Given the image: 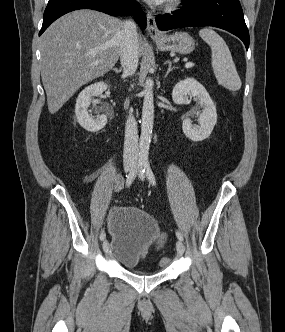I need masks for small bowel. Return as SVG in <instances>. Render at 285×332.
I'll list each match as a JSON object with an SVG mask.
<instances>
[{"label":"small bowel","instance_id":"obj_1","mask_svg":"<svg viewBox=\"0 0 285 332\" xmlns=\"http://www.w3.org/2000/svg\"><path fill=\"white\" fill-rule=\"evenodd\" d=\"M98 173H91L87 176H85L82 180V182L84 184H88L91 183L97 176ZM123 185V179L122 177H120V175L116 174L115 176V185H114V189L115 191H119L122 188Z\"/></svg>","mask_w":285,"mask_h":332}]
</instances>
